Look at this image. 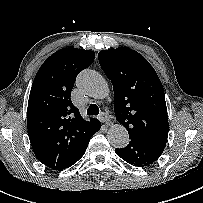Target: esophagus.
<instances>
[{"instance_id": "34e87169", "label": "esophagus", "mask_w": 203, "mask_h": 203, "mask_svg": "<svg viewBox=\"0 0 203 203\" xmlns=\"http://www.w3.org/2000/svg\"><path fill=\"white\" fill-rule=\"evenodd\" d=\"M99 120H100L102 123L110 124V119H109V117L107 116V114L104 113V112H102V113L99 115Z\"/></svg>"}]
</instances>
